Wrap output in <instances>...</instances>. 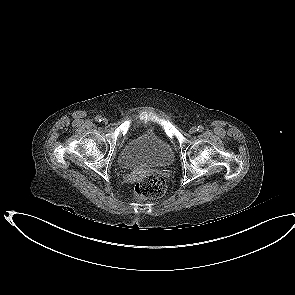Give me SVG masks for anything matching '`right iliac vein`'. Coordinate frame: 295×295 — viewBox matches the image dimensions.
I'll use <instances>...</instances> for the list:
<instances>
[{"instance_id": "63e3f726", "label": "right iliac vein", "mask_w": 295, "mask_h": 295, "mask_svg": "<svg viewBox=\"0 0 295 295\" xmlns=\"http://www.w3.org/2000/svg\"><path fill=\"white\" fill-rule=\"evenodd\" d=\"M102 122H103V123H107L108 120H107L106 118H103V119H102Z\"/></svg>"}]
</instances>
